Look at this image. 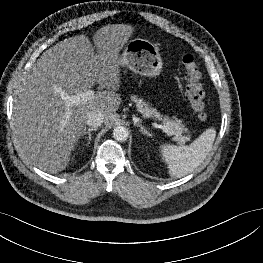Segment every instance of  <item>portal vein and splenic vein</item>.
Returning <instances> with one entry per match:
<instances>
[{"label":"portal vein and splenic vein","mask_w":263,"mask_h":263,"mask_svg":"<svg viewBox=\"0 0 263 263\" xmlns=\"http://www.w3.org/2000/svg\"><path fill=\"white\" fill-rule=\"evenodd\" d=\"M61 94L62 100H64L67 110L65 114V119L67 120L70 117L71 114V107L74 104H79L81 102L93 99L95 96V92L93 90H87L81 93H77L74 95H67L63 90H59ZM62 124L65 125L66 121H62ZM158 128L162 129L164 132L168 133V128L166 125L159 124Z\"/></svg>","instance_id":"1"}]
</instances>
